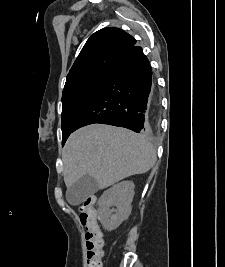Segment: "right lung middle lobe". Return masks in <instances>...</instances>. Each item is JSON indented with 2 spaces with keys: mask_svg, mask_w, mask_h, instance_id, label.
<instances>
[{
  "mask_svg": "<svg viewBox=\"0 0 225 267\" xmlns=\"http://www.w3.org/2000/svg\"><path fill=\"white\" fill-rule=\"evenodd\" d=\"M107 73L83 78L71 85L64 87L62 95V145L73 132L74 124L88 104Z\"/></svg>",
  "mask_w": 225,
  "mask_h": 267,
  "instance_id": "1",
  "label": "right lung middle lobe"
}]
</instances>
